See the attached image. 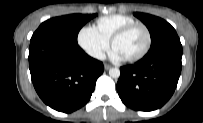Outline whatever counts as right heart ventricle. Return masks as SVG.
<instances>
[{
	"label": "right heart ventricle",
	"mask_w": 203,
	"mask_h": 123,
	"mask_svg": "<svg viewBox=\"0 0 203 123\" xmlns=\"http://www.w3.org/2000/svg\"><path fill=\"white\" fill-rule=\"evenodd\" d=\"M137 20L126 14H112L99 18L96 22V29L106 39L111 40L112 36L122 27L135 23Z\"/></svg>",
	"instance_id": "1"
}]
</instances>
